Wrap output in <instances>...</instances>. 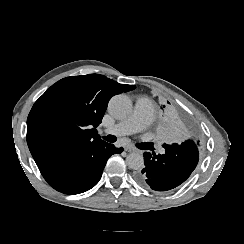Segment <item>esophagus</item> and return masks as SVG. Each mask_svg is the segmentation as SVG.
I'll return each instance as SVG.
<instances>
[{
	"instance_id": "34e87169",
	"label": "esophagus",
	"mask_w": 244,
	"mask_h": 244,
	"mask_svg": "<svg viewBox=\"0 0 244 244\" xmlns=\"http://www.w3.org/2000/svg\"><path fill=\"white\" fill-rule=\"evenodd\" d=\"M124 150L126 152H134L135 151V149L129 145L124 146Z\"/></svg>"
}]
</instances>
